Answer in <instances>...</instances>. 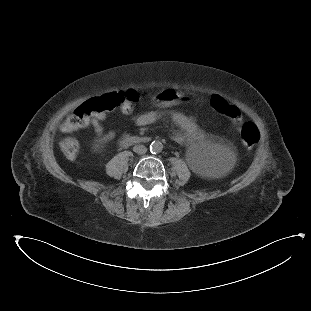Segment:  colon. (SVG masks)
Here are the masks:
<instances>
[{
	"instance_id": "colon-1",
	"label": "colon",
	"mask_w": 311,
	"mask_h": 311,
	"mask_svg": "<svg viewBox=\"0 0 311 311\" xmlns=\"http://www.w3.org/2000/svg\"><path fill=\"white\" fill-rule=\"evenodd\" d=\"M146 94L147 90L145 89L129 92L121 90L118 93H112L103 98L100 103L96 100H90L85 105L80 106L76 112L67 115L63 120V125L67 130L75 131L88 124L98 116L101 111L105 114H110L122 108L125 112H130ZM223 102L224 99L219 94L211 95L208 98V103L215 111H219L222 116H226L234 122L239 121L242 117V111L229 102ZM241 135L243 144L247 149L254 147L260 139L259 129L252 123L244 124ZM60 148L65 158L68 160L76 159L81 149L79 141L74 138L63 140L60 144Z\"/></svg>"
}]
</instances>
